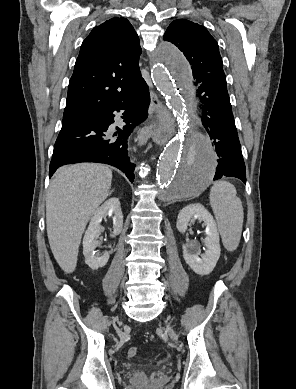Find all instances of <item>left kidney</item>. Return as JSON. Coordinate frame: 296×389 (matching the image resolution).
Wrapping results in <instances>:
<instances>
[{"label": "left kidney", "instance_id": "left-kidney-1", "mask_svg": "<svg viewBox=\"0 0 296 389\" xmlns=\"http://www.w3.org/2000/svg\"><path fill=\"white\" fill-rule=\"evenodd\" d=\"M195 220L203 221L206 225L205 252L201 254L197 244H183V258L195 273L208 275L220 257L219 234L212 215L201 204L188 205L179 212L177 230L184 234L188 225Z\"/></svg>", "mask_w": 296, "mask_h": 389}]
</instances>
